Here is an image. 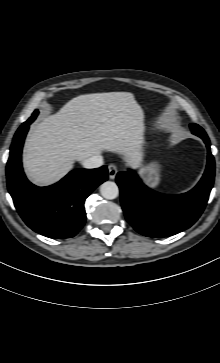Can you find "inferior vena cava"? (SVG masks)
<instances>
[{
  "label": "inferior vena cava",
  "instance_id": "inferior-vena-cava-1",
  "mask_svg": "<svg viewBox=\"0 0 220 363\" xmlns=\"http://www.w3.org/2000/svg\"><path fill=\"white\" fill-rule=\"evenodd\" d=\"M84 168L93 169L103 165V157L101 155H93L82 162Z\"/></svg>",
  "mask_w": 220,
  "mask_h": 363
}]
</instances>
